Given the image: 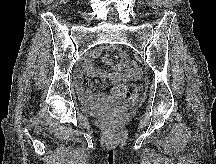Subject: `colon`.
<instances>
[{"instance_id": "5ec220e1", "label": "colon", "mask_w": 216, "mask_h": 164, "mask_svg": "<svg viewBox=\"0 0 216 164\" xmlns=\"http://www.w3.org/2000/svg\"><path fill=\"white\" fill-rule=\"evenodd\" d=\"M99 85L108 88L110 96L116 100H135L139 94L138 90L132 89L129 85L122 83L112 84L106 79L100 80ZM111 122L117 125L119 123V118L113 116Z\"/></svg>"}]
</instances>
